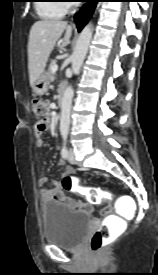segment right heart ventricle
Instances as JSON below:
<instances>
[{"mask_svg": "<svg viewBox=\"0 0 158 275\" xmlns=\"http://www.w3.org/2000/svg\"><path fill=\"white\" fill-rule=\"evenodd\" d=\"M63 1L59 0H44L37 4L39 15L46 19L62 18L67 12V6Z\"/></svg>", "mask_w": 158, "mask_h": 275, "instance_id": "right-heart-ventricle-1", "label": "right heart ventricle"}]
</instances>
